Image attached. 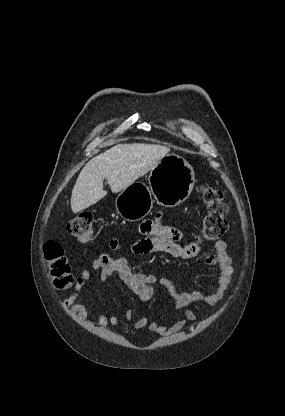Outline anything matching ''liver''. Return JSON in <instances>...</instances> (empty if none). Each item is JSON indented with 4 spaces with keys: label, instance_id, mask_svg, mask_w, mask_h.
<instances>
[{
    "label": "liver",
    "instance_id": "1",
    "mask_svg": "<svg viewBox=\"0 0 285 416\" xmlns=\"http://www.w3.org/2000/svg\"><path fill=\"white\" fill-rule=\"evenodd\" d=\"M104 144V146H110ZM170 148L154 144H118L95 156L81 170L72 190L73 214L83 212L106 196L103 182L106 178L111 192L117 194L153 170L167 156Z\"/></svg>",
    "mask_w": 285,
    "mask_h": 416
}]
</instances>
